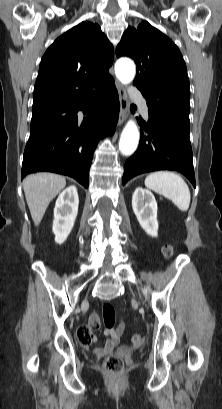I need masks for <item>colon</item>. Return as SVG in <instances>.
<instances>
[{"label": "colon", "mask_w": 222, "mask_h": 409, "mask_svg": "<svg viewBox=\"0 0 222 409\" xmlns=\"http://www.w3.org/2000/svg\"><path fill=\"white\" fill-rule=\"evenodd\" d=\"M172 254H173L172 246L166 245L163 248V255L166 258H170ZM102 316H103L105 326L108 329L112 328L115 323V310H114V307L110 303H105L103 305ZM77 337L82 344L90 341L91 334L88 331V327L86 325H82L77 329ZM132 341L135 344H141L143 342V337L139 334H134L132 337ZM104 369L112 376H115V377L120 376L124 370L123 358L117 355L108 356L104 360Z\"/></svg>", "instance_id": "colon-1"}]
</instances>
